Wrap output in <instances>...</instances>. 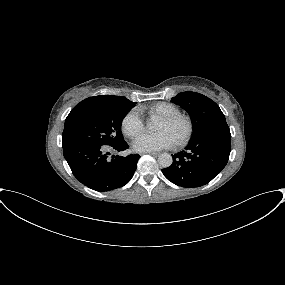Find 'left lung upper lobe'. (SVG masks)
Listing matches in <instances>:
<instances>
[{
    "mask_svg": "<svg viewBox=\"0 0 285 285\" xmlns=\"http://www.w3.org/2000/svg\"><path fill=\"white\" fill-rule=\"evenodd\" d=\"M186 110L193 122V137L207 132L230 133L219 106L208 97L196 92H182L171 99Z\"/></svg>",
    "mask_w": 285,
    "mask_h": 285,
    "instance_id": "1",
    "label": "left lung upper lobe"
}]
</instances>
